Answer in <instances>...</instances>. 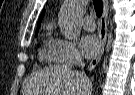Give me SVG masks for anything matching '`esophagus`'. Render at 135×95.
I'll use <instances>...</instances> for the list:
<instances>
[{"label":"esophagus","instance_id":"obj_1","mask_svg":"<svg viewBox=\"0 0 135 95\" xmlns=\"http://www.w3.org/2000/svg\"><path fill=\"white\" fill-rule=\"evenodd\" d=\"M108 9H109L108 0H103V13L100 18V28H99L100 48L89 63L88 68L90 71H92L98 65L104 52V47L107 39Z\"/></svg>","mask_w":135,"mask_h":95}]
</instances>
